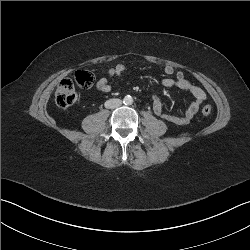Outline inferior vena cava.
<instances>
[{
  "label": "inferior vena cava",
  "mask_w": 250,
  "mask_h": 250,
  "mask_svg": "<svg viewBox=\"0 0 250 250\" xmlns=\"http://www.w3.org/2000/svg\"><path fill=\"white\" fill-rule=\"evenodd\" d=\"M122 105V100L120 99H109L105 102V107L109 109H115Z\"/></svg>",
  "instance_id": "1"
}]
</instances>
